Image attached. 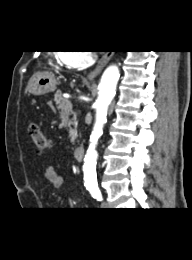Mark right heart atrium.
Masks as SVG:
<instances>
[{
	"instance_id": "d8ad5b80",
	"label": "right heart atrium",
	"mask_w": 192,
	"mask_h": 260,
	"mask_svg": "<svg viewBox=\"0 0 192 260\" xmlns=\"http://www.w3.org/2000/svg\"><path fill=\"white\" fill-rule=\"evenodd\" d=\"M91 61V54L87 51H70L64 55V63L72 68H82Z\"/></svg>"
}]
</instances>
